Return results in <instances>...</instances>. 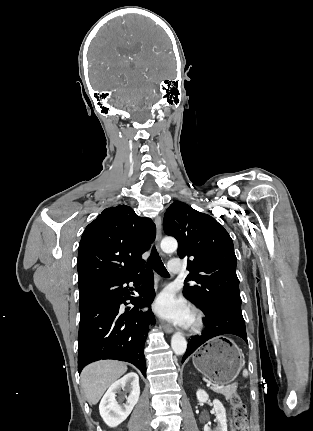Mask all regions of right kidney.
<instances>
[{
	"mask_svg": "<svg viewBox=\"0 0 313 431\" xmlns=\"http://www.w3.org/2000/svg\"><path fill=\"white\" fill-rule=\"evenodd\" d=\"M121 390L129 393L126 396V402L120 404L123 400L122 397L119 401L116 400V394ZM140 396L139 377L136 373L131 372L123 376L121 379L115 381L103 396L99 412L104 422L109 427H116L123 422L131 413L133 407L137 404Z\"/></svg>",
	"mask_w": 313,
	"mask_h": 431,
	"instance_id": "1",
	"label": "right kidney"
}]
</instances>
